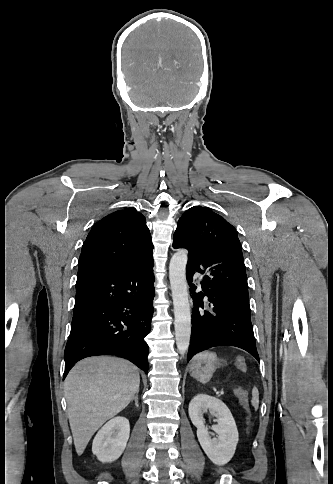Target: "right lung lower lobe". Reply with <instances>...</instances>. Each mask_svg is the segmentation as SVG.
Listing matches in <instances>:
<instances>
[{
    "instance_id": "right-lung-lower-lobe-1",
    "label": "right lung lower lobe",
    "mask_w": 333,
    "mask_h": 484,
    "mask_svg": "<svg viewBox=\"0 0 333 484\" xmlns=\"http://www.w3.org/2000/svg\"><path fill=\"white\" fill-rule=\"evenodd\" d=\"M153 259L122 270L78 274L64 378L79 360L96 355L129 359L148 372V345L155 294Z\"/></svg>"
}]
</instances>
